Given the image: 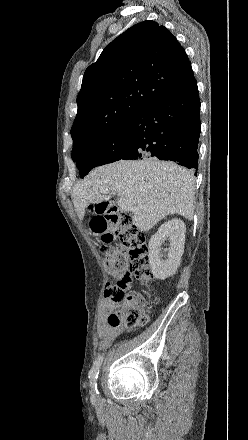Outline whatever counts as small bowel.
<instances>
[{
  "mask_svg": "<svg viewBox=\"0 0 248 440\" xmlns=\"http://www.w3.org/2000/svg\"><path fill=\"white\" fill-rule=\"evenodd\" d=\"M114 307L109 306L106 302L101 307L98 321H97V333L100 338L99 348L105 350L110 347L115 338L119 335V327H112L107 322V316L113 312ZM122 310L118 312L121 314Z\"/></svg>",
  "mask_w": 248,
  "mask_h": 440,
  "instance_id": "c3829d8e",
  "label": "small bowel"
}]
</instances>
